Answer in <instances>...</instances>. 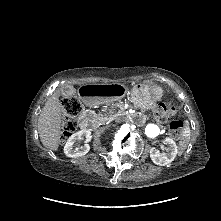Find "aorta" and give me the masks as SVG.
<instances>
[{
	"label": "aorta",
	"instance_id": "aorta-1",
	"mask_svg": "<svg viewBox=\"0 0 221 221\" xmlns=\"http://www.w3.org/2000/svg\"><path fill=\"white\" fill-rule=\"evenodd\" d=\"M159 131V127L155 124H148L145 128V134L151 138L156 137Z\"/></svg>",
	"mask_w": 221,
	"mask_h": 221
}]
</instances>
